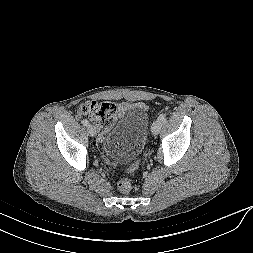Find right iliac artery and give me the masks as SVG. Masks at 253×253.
<instances>
[{"label": "right iliac artery", "instance_id": "right-iliac-artery-1", "mask_svg": "<svg viewBox=\"0 0 253 253\" xmlns=\"http://www.w3.org/2000/svg\"><path fill=\"white\" fill-rule=\"evenodd\" d=\"M82 124H83L84 126H88V125H89V121L86 120V119H83V120H82Z\"/></svg>", "mask_w": 253, "mask_h": 253}]
</instances>
